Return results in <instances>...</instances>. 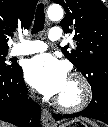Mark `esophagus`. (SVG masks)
<instances>
[{
    "label": "esophagus",
    "mask_w": 108,
    "mask_h": 127,
    "mask_svg": "<svg viewBox=\"0 0 108 127\" xmlns=\"http://www.w3.org/2000/svg\"><path fill=\"white\" fill-rule=\"evenodd\" d=\"M44 2H46V0H44ZM41 122L44 127H52L53 126V119H52L51 113L46 108L42 109Z\"/></svg>",
    "instance_id": "1"
}]
</instances>
